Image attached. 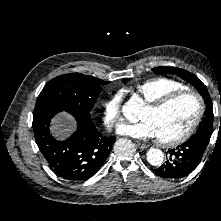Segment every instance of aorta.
I'll return each mask as SVG.
<instances>
[{
	"label": "aorta",
	"mask_w": 221,
	"mask_h": 221,
	"mask_svg": "<svg viewBox=\"0 0 221 221\" xmlns=\"http://www.w3.org/2000/svg\"><path fill=\"white\" fill-rule=\"evenodd\" d=\"M137 110H138V105L133 101H129L123 107L124 116L130 121H132L133 118L135 117ZM146 157L147 161L153 166L161 165L164 160L163 152L157 148L149 149V151L146 154Z\"/></svg>",
	"instance_id": "1"
}]
</instances>
